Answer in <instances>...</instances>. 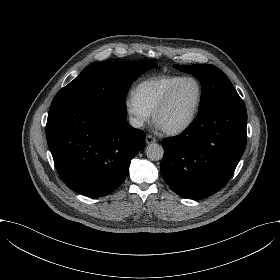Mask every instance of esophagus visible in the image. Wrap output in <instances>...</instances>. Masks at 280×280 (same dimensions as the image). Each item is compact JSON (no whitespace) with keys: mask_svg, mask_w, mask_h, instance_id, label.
<instances>
[{"mask_svg":"<svg viewBox=\"0 0 280 280\" xmlns=\"http://www.w3.org/2000/svg\"><path fill=\"white\" fill-rule=\"evenodd\" d=\"M146 144L150 145L152 143H155L157 141V139L155 137H153L152 135H147L145 138Z\"/></svg>","mask_w":280,"mask_h":280,"instance_id":"obj_1","label":"esophagus"}]
</instances>
